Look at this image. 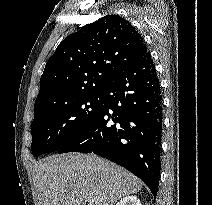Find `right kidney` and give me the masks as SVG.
Segmentation results:
<instances>
[{
    "label": "right kidney",
    "mask_w": 212,
    "mask_h": 205,
    "mask_svg": "<svg viewBox=\"0 0 212 205\" xmlns=\"http://www.w3.org/2000/svg\"><path fill=\"white\" fill-rule=\"evenodd\" d=\"M116 205H141V203L136 196H126L122 198Z\"/></svg>",
    "instance_id": "1"
}]
</instances>
